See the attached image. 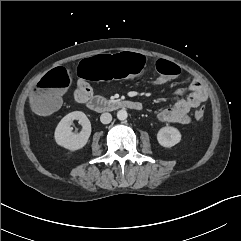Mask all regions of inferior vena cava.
<instances>
[{
	"label": "inferior vena cava",
	"mask_w": 241,
	"mask_h": 241,
	"mask_svg": "<svg viewBox=\"0 0 241 241\" xmlns=\"http://www.w3.org/2000/svg\"><path fill=\"white\" fill-rule=\"evenodd\" d=\"M100 121L103 124H109L112 121V115L110 113H103L100 116Z\"/></svg>",
	"instance_id": "inferior-vena-cava-1"
}]
</instances>
